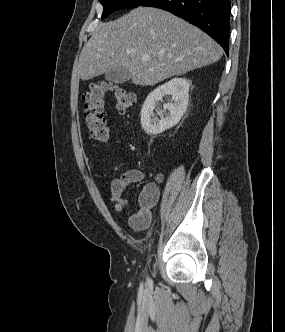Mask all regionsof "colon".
Instances as JSON below:
<instances>
[{"label": "colon", "mask_w": 285, "mask_h": 332, "mask_svg": "<svg viewBox=\"0 0 285 332\" xmlns=\"http://www.w3.org/2000/svg\"><path fill=\"white\" fill-rule=\"evenodd\" d=\"M108 93H111L116 108L124 113L135 103V95L129 89L105 81L94 82L83 96L84 118L92 139L106 145L109 142L110 130L104 115V104Z\"/></svg>", "instance_id": "5ec220e1"}]
</instances>
